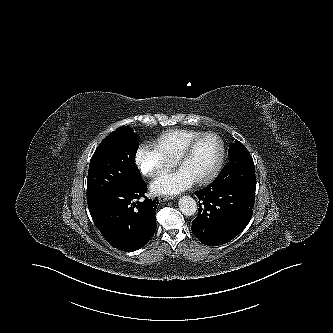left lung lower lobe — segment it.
I'll use <instances>...</instances> for the list:
<instances>
[{
	"instance_id": "obj_1",
	"label": "left lung lower lobe",
	"mask_w": 333,
	"mask_h": 333,
	"mask_svg": "<svg viewBox=\"0 0 333 333\" xmlns=\"http://www.w3.org/2000/svg\"><path fill=\"white\" fill-rule=\"evenodd\" d=\"M234 178L227 167L209 186L195 192L200 202L192 232L205 245L231 241L251 220L255 192L237 186Z\"/></svg>"
}]
</instances>
